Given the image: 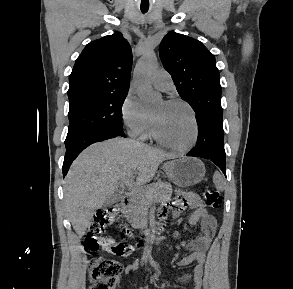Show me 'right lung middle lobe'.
<instances>
[{
	"label": "right lung middle lobe",
	"instance_id": "right-lung-middle-lobe-1",
	"mask_svg": "<svg viewBox=\"0 0 293 289\" xmlns=\"http://www.w3.org/2000/svg\"><path fill=\"white\" fill-rule=\"evenodd\" d=\"M126 96H85L69 101V128L65 144L96 130L122 129V105Z\"/></svg>",
	"mask_w": 293,
	"mask_h": 289
}]
</instances>
